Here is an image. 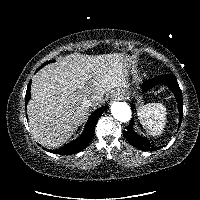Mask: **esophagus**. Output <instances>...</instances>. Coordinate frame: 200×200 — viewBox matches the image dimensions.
I'll use <instances>...</instances> for the list:
<instances>
[{
	"instance_id": "1",
	"label": "esophagus",
	"mask_w": 200,
	"mask_h": 200,
	"mask_svg": "<svg viewBox=\"0 0 200 200\" xmlns=\"http://www.w3.org/2000/svg\"><path fill=\"white\" fill-rule=\"evenodd\" d=\"M124 97V94L123 92H120V91H116L112 94V98L114 99H122Z\"/></svg>"
}]
</instances>
